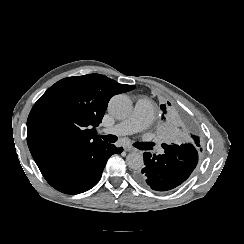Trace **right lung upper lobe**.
<instances>
[{
	"mask_svg": "<svg viewBox=\"0 0 244 244\" xmlns=\"http://www.w3.org/2000/svg\"><path fill=\"white\" fill-rule=\"evenodd\" d=\"M100 74L64 78L33 106L27 120V143L34 160L102 142L95 127L108 101L133 90Z\"/></svg>",
	"mask_w": 244,
	"mask_h": 244,
	"instance_id": "right-lung-upper-lobe-1",
	"label": "right lung upper lobe"
}]
</instances>
